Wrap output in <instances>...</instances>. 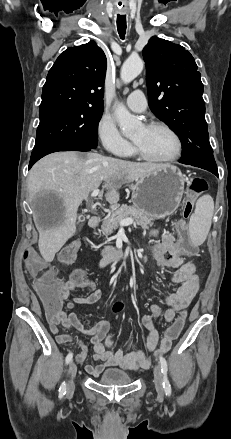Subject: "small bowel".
Returning a JSON list of instances; mask_svg holds the SVG:
<instances>
[{
	"label": "small bowel",
	"instance_id": "obj_1",
	"mask_svg": "<svg viewBox=\"0 0 231 439\" xmlns=\"http://www.w3.org/2000/svg\"><path fill=\"white\" fill-rule=\"evenodd\" d=\"M183 250L180 243L174 241L173 236L165 235L161 237L155 245V259L159 265L164 268L175 269L172 276V281L179 284L175 292L170 294H161L167 309L164 311V318L171 322L175 320L178 309L181 306L189 307L191 301L196 295L199 288V276L197 268L193 263H183L178 260L177 252ZM81 287L73 278L70 277L67 281H62L60 284V307L55 309L59 312L58 320H49L52 333L55 335L59 344H65L72 340L69 334H63L59 331V326L71 330L74 329L82 334L91 336V344L93 348L92 357L98 363L96 365H87L86 371L91 376L97 377L107 367H118L127 371H136L140 368H148L151 364L149 352L154 351V356L164 354L171 348V341L163 338L158 346L159 332L153 324V318L161 315V307L157 304H152L149 307V315H144L142 323L148 331L146 339V349L126 352L123 349L112 351L113 345L110 335V324L108 321H99L90 328H85L79 321L77 315L72 312L75 304H94L102 296V292L98 288H93L92 291L84 297H71L72 291ZM155 287L151 283H143L138 295L145 298L148 292H151ZM67 302L64 309V303ZM81 352L76 355L78 362H83L88 354V347L83 341L78 340Z\"/></svg>",
	"mask_w": 231,
	"mask_h": 439
}]
</instances>
